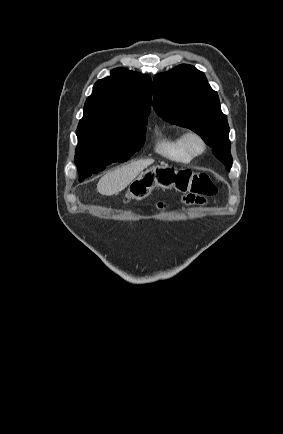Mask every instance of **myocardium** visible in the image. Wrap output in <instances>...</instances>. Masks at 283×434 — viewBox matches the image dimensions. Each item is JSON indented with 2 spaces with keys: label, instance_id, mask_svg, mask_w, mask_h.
Wrapping results in <instances>:
<instances>
[{
  "label": "myocardium",
  "instance_id": "obj_1",
  "mask_svg": "<svg viewBox=\"0 0 283 434\" xmlns=\"http://www.w3.org/2000/svg\"><path fill=\"white\" fill-rule=\"evenodd\" d=\"M192 141L198 143V148L194 149L192 147ZM182 145L186 153L191 157H199L206 152L207 143L204 137L197 131L189 130L182 134Z\"/></svg>",
  "mask_w": 283,
  "mask_h": 434
}]
</instances>
